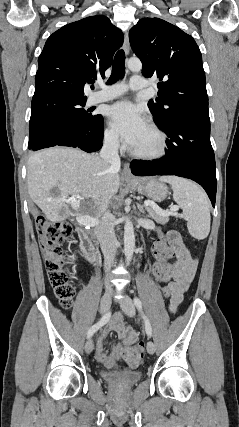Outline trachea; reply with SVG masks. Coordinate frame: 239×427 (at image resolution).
<instances>
[{
	"label": "trachea",
	"instance_id": "trachea-1",
	"mask_svg": "<svg viewBox=\"0 0 239 427\" xmlns=\"http://www.w3.org/2000/svg\"><path fill=\"white\" fill-rule=\"evenodd\" d=\"M125 75V53L123 50H119L113 61L112 73L107 84H112L119 79H122Z\"/></svg>",
	"mask_w": 239,
	"mask_h": 427
}]
</instances>
